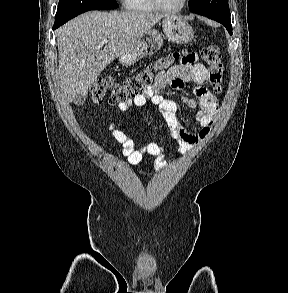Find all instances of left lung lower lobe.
Instances as JSON below:
<instances>
[{"label": "left lung lower lobe", "instance_id": "left-lung-lower-lobe-1", "mask_svg": "<svg viewBox=\"0 0 288 293\" xmlns=\"http://www.w3.org/2000/svg\"><path fill=\"white\" fill-rule=\"evenodd\" d=\"M221 24H223L226 27V29L228 30V32L230 34H232V25H231V23H221Z\"/></svg>", "mask_w": 288, "mask_h": 293}]
</instances>
